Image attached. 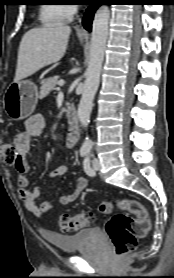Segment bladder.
Segmentation results:
<instances>
[{
    "mask_svg": "<svg viewBox=\"0 0 174 278\" xmlns=\"http://www.w3.org/2000/svg\"><path fill=\"white\" fill-rule=\"evenodd\" d=\"M98 228H86L71 235L48 234L47 240L59 250L67 253L83 249L99 239Z\"/></svg>",
    "mask_w": 174,
    "mask_h": 278,
    "instance_id": "1",
    "label": "bladder"
}]
</instances>
